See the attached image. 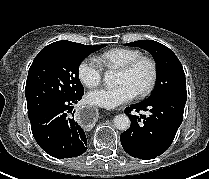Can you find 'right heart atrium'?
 Listing matches in <instances>:
<instances>
[{
	"label": "right heart atrium",
	"mask_w": 209,
	"mask_h": 179,
	"mask_svg": "<svg viewBox=\"0 0 209 179\" xmlns=\"http://www.w3.org/2000/svg\"><path fill=\"white\" fill-rule=\"evenodd\" d=\"M78 78L88 88H94L101 83L103 69L93 58L83 59L78 66Z\"/></svg>",
	"instance_id": "right-heart-atrium-1"
}]
</instances>
